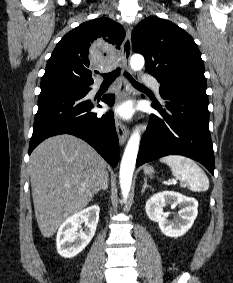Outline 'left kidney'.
Masks as SVG:
<instances>
[{"label": "left kidney", "mask_w": 233, "mask_h": 283, "mask_svg": "<svg viewBox=\"0 0 233 283\" xmlns=\"http://www.w3.org/2000/svg\"><path fill=\"white\" fill-rule=\"evenodd\" d=\"M171 205L181 209L172 221L162 216L163 207ZM198 202L195 198L186 197L178 192L164 191L154 194L145 205L147 216L157 222L161 232L169 237L183 236L193 225L198 214Z\"/></svg>", "instance_id": "1"}]
</instances>
